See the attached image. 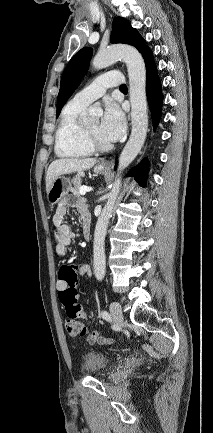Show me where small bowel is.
<instances>
[{
	"mask_svg": "<svg viewBox=\"0 0 213 433\" xmlns=\"http://www.w3.org/2000/svg\"><path fill=\"white\" fill-rule=\"evenodd\" d=\"M71 205L75 206L79 212L82 228H84V226L86 225L90 226L91 216L83 201L78 200L72 202L68 198L61 200L53 216V224L55 226V239H56L55 251L58 256L67 255L68 248L71 245L72 240L74 239V232L71 226L65 222L67 210ZM73 267H75L79 275H86L88 277L92 275V268L90 264L84 263ZM63 288H64L63 282L58 280L57 289L60 291ZM85 318H87V314L85 315ZM88 341L90 343L97 342L99 344H109L112 342L111 339L103 337L98 333L94 340H91L90 336H88Z\"/></svg>",
	"mask_w": 213,
	"mask_h": 433,
	"instance_id": "c3829d8e",
	"label": "small bowel"
}]
</instances>
